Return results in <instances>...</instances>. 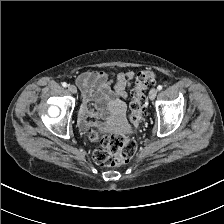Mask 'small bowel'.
Listing matches in <instances>:
<instances>
[{"label": "small bowel", "mask_w": 224, "mask_h": 224, "mask_svg": "<svg viewBox=\"0 0 224 224\" xmlns=\"http://www.w3.org/2000/svg\"><path fill=\"white\" fill-rule=\"evenodd\" d=\"M133 73L107 74L101 71H86L78 75L76 82L82 91L83 105L79 113V126L86 129L93 115V106L108 111V104L127 98V89Z\"/></svg>", "instance_id": "small-bowel-1"}]
</instances>
